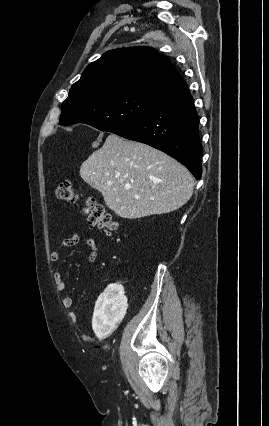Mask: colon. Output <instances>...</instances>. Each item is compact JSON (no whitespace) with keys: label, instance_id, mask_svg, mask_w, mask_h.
Wrapping results in <instances>:
<instances>
[{"label":"colon","instance_id":"5ec220e1","mask_svg":"<svg viewBox=\"0 0 269 426\" xmlns=\"http://www.w3.org/2000/svg\"><path fill=\"white\" fill-rule=\"evenodd\" d=\"M56 194L58 199L65 202L72 203L77 200L74 184L70 180L60 182ZM82 212L90 225L106 233L114 232L117 229V224L112 219V216L106 212L103 205L98 203L94 197H88L86 199Z\"/></svg>","mask_w":269,"mask_h":426}]
</instances>
